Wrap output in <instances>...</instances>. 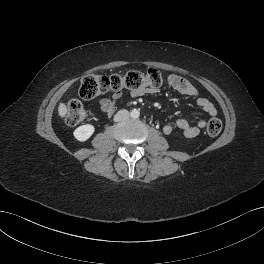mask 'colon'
<instances>
[{
  "label": "colon",
  "mask_w": 264,
  "mask_h": 264,
  "mask_svg": "<svg viewBox=\"0 0 264 264\" xmlns=\"http://www.w3.org/2000/svg\"><path fill=\"white\" fill-rule=\"evenodd\" d=\"M166 80L162 72L158 69H149L145 73L139 71H129L123 74L111 75H86L80 85L79 94L83 99H92L107 91H121L128 89L137 91L146 88H159L165 84ZM86 117L83 105L78 100H71L67 104L66 123L75 126ZM222 130V122L218 118L208 121L206 132L209 136L215 137Z\"/></svg>",
  "instance_id": "obj_1"
}]
</instances>
